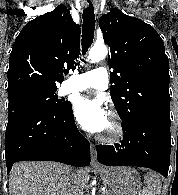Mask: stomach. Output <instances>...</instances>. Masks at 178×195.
I'll list each match as a JSON object with an SVG mask.
<instances>
[{
	"instance_id": "1",
	"label": "stomach",
	"mask_w": 178,
	"mask_h": 195,
	"mask_svg": "<svg viewBox=\"0 0 178 195\" xmlns=\"http://www.w3.org/2000/svg\"><path fill=\"white\" fill-rule=\"evenodd\" d=\"M107 195H138L140 176L131 167H105L99 170Z\"/></svg>"
}]
</instances>
